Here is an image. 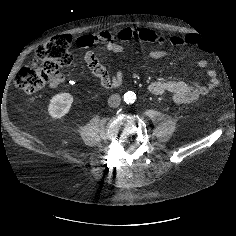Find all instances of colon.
<instances>
[{
    "mask_svg": "<svg viewBox=\"0 0 236 236\" xmlns=\"http://www.w3.org/2000/svg\"><path fill=\"white\" fill-rule=\"evenodd\" d=\"M69 45L67 37H55L39 45L35 51L36 60L17 73L16 86L25 93L32 94L58 80L61 68L72 62Z\"/></svg>",
    "mask_w": 236,
    "mask_h": 236,
    "instance_id": "1",
    "label": "colon"
}]
</instances>
